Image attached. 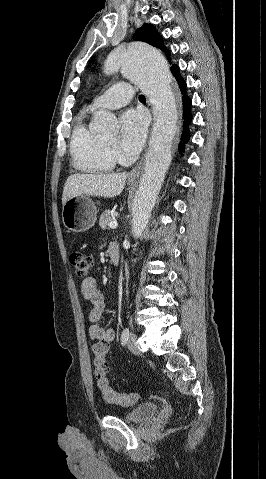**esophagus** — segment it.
<instances>
[{"instance_id":"esophagus-1","label":"esophagus","mask_w":266,"mask_h":479,"mask_svg":"<svg viewBox=\"0 0 266 479\" xmlns=\"http://www.w3.org/2000/svg\"><path fill=\"white\" fill-rule=\"evenodd\" d=\"M142 161H140L133 169L129 172L128 177L129 178H136L137 175L140 172Z\"/></svg>"}]
</instances>
